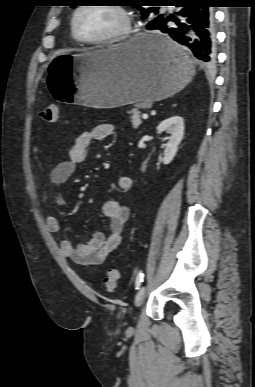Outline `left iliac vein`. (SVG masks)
Listing matches in <instances>:
<instances>
[{
    "label": "left iliac vein",
    "mask_w": 255,
    "mask_h": 387,
    "mask_svg": "<svg viewBox=\"0 0 255 387\" xmlns=\"http://www.w3.org/2000/svg\"><path fill=\"white\" fill-rule=\"evenodd\" d=\"M145 295H146V287L142 286L135 296V305L137 307L141 306V304L145 299Z\"/></svg>",
    "instance_id": "left-iliac-vein-1"
}]
</instances>
